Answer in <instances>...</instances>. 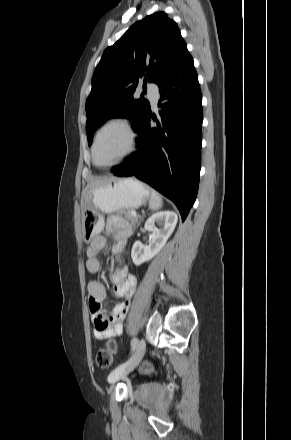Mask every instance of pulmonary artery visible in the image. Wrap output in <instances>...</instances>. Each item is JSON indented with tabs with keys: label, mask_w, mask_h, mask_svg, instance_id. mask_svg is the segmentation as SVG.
<instances>
[{
	"label": "pulmonary artery",
	"mask_w": 291,
	"mask_h": 440,
	"mask_svg": "<svg viewBox=\"0 0 291 440\" xmlns=\"http://www.w3.org/2000/svg\"><path fill=\"white\" fill-rule=\"evenodd\" d=\"M147 90H148V97L152 101L153 105H156L157 99L159 97L158 87L153 84H150L148 85Z\"/></svg>",
	"instance_id": "pulmonary-artery-1"
}]
</instances>
